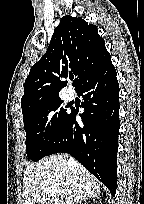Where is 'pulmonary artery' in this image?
Here are the masks:
<instances>
[{"label": "pulmonary artery", "instance_id": "e3ab8cb5", "mask_svg": "<svg viewBox=\"0 0 144 204\" xmlns=\"http://www.w3.org/2000/svg\"><path fill=\"white\" fill-rule=\"evenodd\" d=\"M66 98H67L68 100H71V99L73 98V93H72L71 91H68V92L66 93Z\"/></svg>", "mask_w": 144, "mask_h": 204}]
</instances>
